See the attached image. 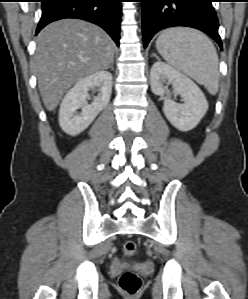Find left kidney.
Segmentation results:
<instances>
[{
  "mask_svg": "<svg viewBox=\"0 0 248 299\" xmlns=\"http://www.w3.org/2000/svg\"><path fill=\"white\" fill-rule=\"evenodd\" d=\"M151 90L165 96L163 112L168 121L181 131L195 128L208 110V103L200 88L186 75L163 62L153 64L150 72ZM172 85L173 93L181 95L183 104L171 100V93L164 86Z\"/></svg>",
  "mask_w": 248,
  "mask_h": 299,
  "instance_id": "5707ae66",
  "label": "left kidney"
}]
</instances>
